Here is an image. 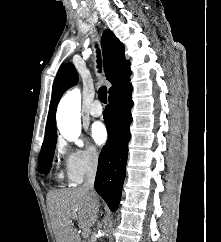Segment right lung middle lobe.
<instances>
[{"instance_id": "dd1d6c3e", "label": "right lung middle lobe", "mask_w": 221, "mask_h": 242, "mask_svg": "<svg viewBox=\"0 0 221 242\" xmlns=\"http://www.w3.org/2000/svg\"><path fill=\"white\" fill-rule=\"evenodd\" d=\"M57 136L44 139L39 155V171L47 174L51 168Z\"/></svg>"}]
</instances>
